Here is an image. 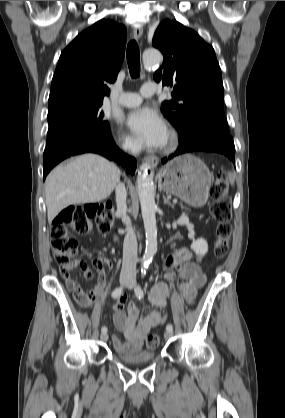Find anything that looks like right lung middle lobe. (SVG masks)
<instances>
[{
  "label": "right lung middle lobe",
  "mask_w": 285,
  "mask_h": 418,
  "mask_svg": "<svg viewBox=\"0 0 285 418\" xmlns=\"http://www.w3.org/2000/svg\"><path fill=\"white\" fill-rule=\"evenodd\" d=\"M102 103L67 100L48 104L47 146L75 133H109V123L103 120L100 109Z\"/></svg>",
  "instance_id": "1"
}]
</instances>
